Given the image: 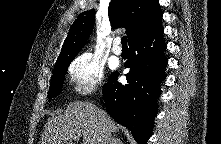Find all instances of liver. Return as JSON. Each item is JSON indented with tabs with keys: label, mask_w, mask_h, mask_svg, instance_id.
<instances>
[{
	"label": "liver",
	"mask_w": 221,
	"mask_h": 144,
	"mask_svg": "<svg viewBox=\"0 0 221 144\" xmlns=\"http://www.w3.org/2000/svg\"><path fill=\"white\" fill-rule=\"evenodd\" d=\"M104 124L110 135L117 133L115 122L106 112L88 102L74 101L63 114L47 121L41 144H72L74 137H81L83 144H100Z\"/></svg>",
	"instance_id": "6515ba94"
}]
</instances>
